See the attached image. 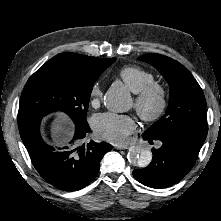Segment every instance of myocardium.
Instances as JSON below:
<instances>
[{
  "mask_svg": "<svg viewBox=\"0 0 221 221\" xmlns=\"http://www.w3.org/2000/svg\"><path fill=\"white\" fill-rule=\"evenodd\" d=\"M133 107L145 122H156L162 118L168 107L166 89L158 83H150L135 93Z\"/></svg>",
  "mask_w": 221,
  "mask_h": 221,
  "instance_id": "myocardium-1",
  "label": "myocardium"
}]
</instances>
